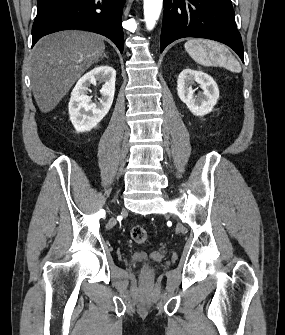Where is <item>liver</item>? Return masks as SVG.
<instances>
[{
	"label": "liver",
	"instance_id": "liver-1",
	"mask_svg": "<svg viewBox=\"0 0 285 335\" xmlns=\"http://www.w3.org/2000/svg\"><path fill=\"white\" fill-rule=\"evenodd\" d=\"M104 50L102 36L91 32L67 30L41 38L32 50L29 70L40 112H52Z\"/></svg>",
	"mask_w": 285,
	"mask_h": 335
}]
</instances>
